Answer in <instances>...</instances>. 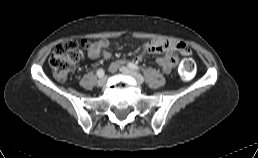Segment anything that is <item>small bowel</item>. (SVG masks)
Wrapping results in <instances>:
<instances>
[{
    "mask_svg": "<svg viewBox=\"0 0 258 158\" xmlns=\"http://www.w3.org/2000/svg\"><path fill=\"white\" fill-rule=\"evenodd\" d=\"M109 46L110 42L106 39L93 43L88 49V57L92 60H96L101 57L109 59L111 57V54L108 51ZM189 52V47L184 42L155 39L145 43L142 46V53L137 55L133 61H141L144 54H161L156 59V62L165 73H170L180 63V56L188 55ZM123 63H125L124 60L111 63L110 70L115 71L117 67Z\"/></svg>",
    "mask_w": 258,
    "mask_h": 158,
    "instance_id": "1",
    "label": "small bowel"
}]
</instances>
